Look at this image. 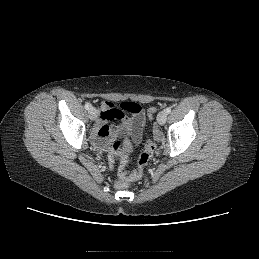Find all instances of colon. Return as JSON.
<instances>
[{"label": "colon", "mask_w": 259, "mask_h": 259, "mask_svg": "<svg viewBox=\"0 0 259 259\" xmlns=\"http://www.w3.org/2000/svg\"><path fill=\"white\" fill-rule=\"evenodd\" d=\"M119 107L123 110H126L128 112L135 113L139 110V107L134 102H123L119 105ZM157 110L156 108H149L147 111V115L149 119H153L155 116ZM125 146L121 141H116L113 145V151L118 154H122V160L119 167V178L115 181V186L118 189H126L129 186V180H136L139 179L143 173L149 162L151 161L156 146L154 142L151 140H147L145 142L144 150L140 154L138 159V169L132 173L127 172L126 166H127V155L124 152Z\"/></svg>", "instance_id": "1"}]
</instances>
